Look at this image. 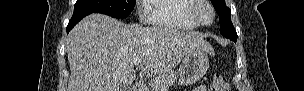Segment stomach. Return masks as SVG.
Segmentation results:
<instances>
[{"mask_svg":"<svg viewBox=\"0 0 304 91\" xmlns=\"http://www.w3.org/2000/svg\"><path fill=\"white\" fill-rule=\"evenodd\" d=\"M209 67L208 52L203 49L190 51L178 70V80L181 85H190L202 78Z\"/></svg>","mask_w":304,"mask_h":91,"instance_id":"1","label":"stomach"}]
</instances>
